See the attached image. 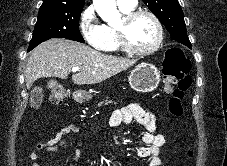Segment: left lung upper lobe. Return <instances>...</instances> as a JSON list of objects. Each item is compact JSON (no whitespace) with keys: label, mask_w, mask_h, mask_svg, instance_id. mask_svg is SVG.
I'll list each match as a JSON object with an SVG mask.
<instances>
[{"label":"left lung upper lobe","mask_w":227,"mask_h":166,"mask_svg":"<svg viewBox=\"0 0 227 166\" xmlns=\"http://www.w3.org/2000/svg\"><path fill=\"white\" fill-rule=\"evenodd\" d=\"M167 28L172 40L191 47L178 0H142Z\"/></svg>","instance_id":"left-lung-upper-lobe-1"}]
</instances>
